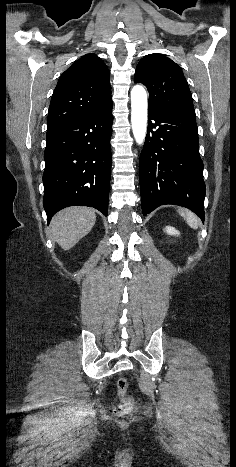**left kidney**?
I'll use <instances>...</instances> for the list:
<instances>
[{"mask_svg": "<svg viewBox=\"0 0 236 467\" xmlns=\"http://www.w3.org/2000/svg\"><path fill=\"white\" fill-rule=\"evenodd\" d=\"M165 231L169 235L179 236L180 232L171 226H166Z\"/></svg>", "mask_w": 236, "mask_h": 467, "instance_id": "obj_1", "label": "left kidney"}]
</instances>
